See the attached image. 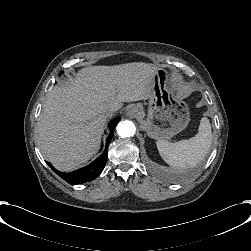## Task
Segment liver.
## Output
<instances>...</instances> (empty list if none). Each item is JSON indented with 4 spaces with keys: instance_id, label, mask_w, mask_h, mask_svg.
<instances>
[{
    "instance_id": "6515ba94",
    "label": "liver",
    "mask_w": 251,
    "mask_h": 251,
    "mask_svg": "<svg viewBox=\"0 0 251 251\" xmlns=\"http://www.w3.org/2000/svg\"><path fill=\"white\" fill-rule=\"evenodd\" d=\"M156 70L144 62L89 66L61 81L50 91L37 122L43 157L64 172L86 163L100 148L110 109L154 95Z\"/></svg>"
}]
</instances>
